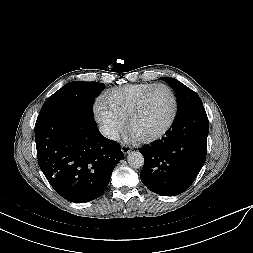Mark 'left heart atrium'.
I'll return each mask as SVG.
<instances>
[{
  "label": "left heart atrium",
  "mask_w": 253,
  "mask_h": 253,
  "mask_svg": "<svg viewBox=\"0 0 253 253\" xmlns=\"http://www.w3.org/2000/svg\"><path fill=\"white\" fill-rule=\"evenodd\" d=\"M130 135L133 136V137H136V135H134L131 131H130Z\"/></svg>",
  "instance_id": "39dd6f15"
}]
</instances>
